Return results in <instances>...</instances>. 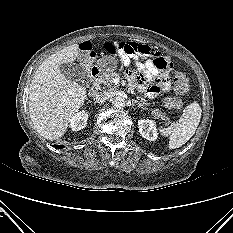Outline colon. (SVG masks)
<instances>
[{"label": "colon", "instance_id": "obj_1", "mask_svg": "<svg viewBox=\"0 0 233 233\" xmlns=\"http://www.w3.org/2000/svg\"><path fill=\"white\" fill-rule=\"evenodd\" d=\"M189 80L184 72H178L173 78V89L177 94H184L188 91ZM166 105L170 108L180 110L183 107V103L180 99L174 97H168L166 99Z\"/></svg>", "mask_w": 233, "mask_h": 233}]
</instances>
